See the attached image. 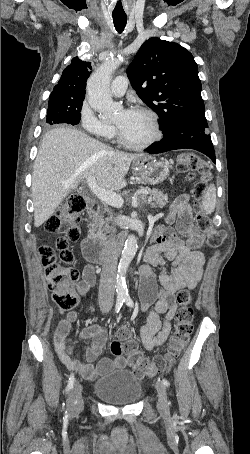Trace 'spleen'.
<instances>
[{
  "instance_id": "spleen-1",
  "label": "spleen",
  "mask_w": 250,
  "mask_h": 454,
  "mask_svg": "<svg viewBox=\"0 0 250 454\" xmlns=\"http://www.w3.org/2000/svg\"><path fill=\"white\" fill-rule=\"evenodd\" d=\"M215 206L216 189L214 184H211L203 194L201 207L207 214H211L214 211Z\"/></svg>"
}]
</instances>
